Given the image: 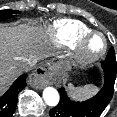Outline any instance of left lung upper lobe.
Wrapping results in <instances>:
<instances>
[{
    "mask_svg": "<svg viewBox=\"0 0 117 117\" xmlns=\"http://www.w3.org/2000/svg\"><path fill=\"white\" fill-rule=\"evenodd\" d=\"M102 65L104 67H111L116 69L117 63H116L114 48H111L109 50L108 55L104 60V62L102 63Z\"/></svg>",
    "mask_w": 117,
    "mask_h": 117,
    "instance_id": "obj_1",
    "label": "left lung upper lobe"
}]
</instances>
